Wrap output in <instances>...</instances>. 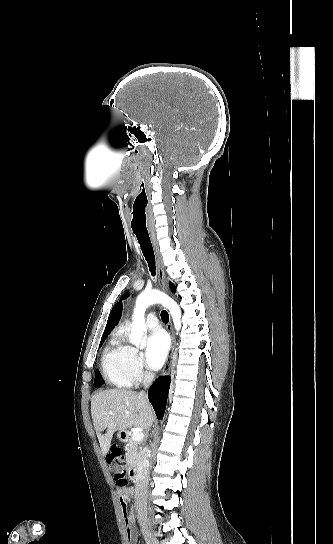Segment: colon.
Returning <instances> with one entry per match:
<instances>
[{"mask_svg": "<svg viewBox=\"0 0 333 544\" xmlns=\"http://www.w3.org/2000/svg\"><path fill=\"white\" fill-rule=\"evenodd\" d=\"M106 460L109 464L116 463L118 467H122L124 465V457L121 448L118 445H113ZM114 480L120 488H125L127 486L128 480L122 470L115 473Z\"/></svg>", "mask_w": 333, "mask_h": 544, "instance_id": "1", "label": "colon"}]
</instances>
